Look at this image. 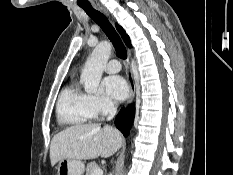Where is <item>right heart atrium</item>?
Instances as JSON below:
<instances>
[{
  "instance_id": "obj_1",
  "label": "right heart atrium",
  "mask_w": 233,
  "mask_h": 175,
  "mask_svg": "<svg viewBox=\"0 0 233 175\" xmlns=\"http://www.w3.org/2000/svg\"><path fill=\"white\" fill-rule=\"evenodd\" d=\"M91 102L95 115L109 114L115 108L114 102L108 96L103 94L91 95Z\"/></svg>"
}]
</instances>
